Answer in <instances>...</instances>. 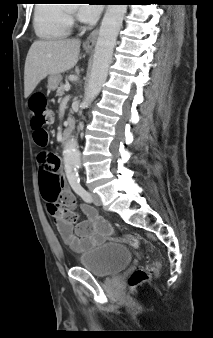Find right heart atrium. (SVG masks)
<instances>
[{
	"label": "right heart atrium",
	"instance_id": "1",
	"mask_svg": "<svg viewBox=\"0 0 213 338\" xmlns=\"http://www.w3.org/2000/svg\"><path fill=\"white\" fill-rule=\"evenodd\" d=\"M67 20H68V22H70V21H71V18L69 17Z\"/></svg>",
	"mask_w": 213,
	"mask_h": 338
}]
</instances>
